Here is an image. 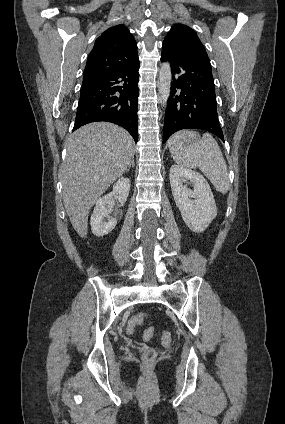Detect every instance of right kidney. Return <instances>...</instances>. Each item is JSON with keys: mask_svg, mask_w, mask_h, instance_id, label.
I'll use <instances>...</instances> for the list:
<instances>
[{"mask_svg": "<svg viewBox=\"0 0 285 424\" xmlns=\"http://www.w3.org/2000/svg\"><path fill=\"white\" fill-rule=\"evenodd\" d=\"M129 190L130 180L122 177L113 185L111 193L106 194L96 201V205L90 219L91 230L94 235L101 237L108 234L115 228L117 220L114 217H110V214L116 211V209H114L115 202L113 196L118 199V206H123L129 195ZM105 218L108 219L107 222L104 220Z\"/></svg>", "mask_w": 285, "mask_h": 424, "instance_id": "right-kidney-1", "label": "right kidney"}]
</instances>
